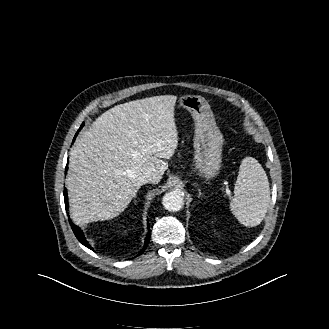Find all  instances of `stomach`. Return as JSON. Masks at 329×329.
I'll return each instance as SVG.
<instances>
[{
  "mask_svg": "<svg viewBox=\"0 0 329 329\" xmlns=\"http://www.w3.org/2000/svg\"><path fill=\"white\" fill-rule=\"evenodd\" d=\"M179 104L191 113L195 122L193 171L202 178L211 179L219 173L223 144L211 107L200 95H184Z\"/></svg>",
  "mask_w": 329,
  "mask_h": 329,
  "instance_id": "0dacf381",
  "label": "stomach"
}]
</instances>
